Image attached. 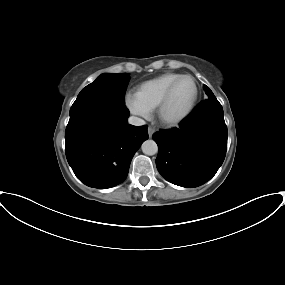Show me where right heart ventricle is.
Wrapping results in <instances>:
<instances>
[{
    "mask_svg": "<svg viewBox=\"0 0 285 285\" xmlns=\"http://www.w3.org/2000/svg\"><path fill=\"white\" fill-rule=\"evenodd\" d=\"M180 75L179 73H164L141 83L135 90V100L146 110H154L168 86Z\"/></svg>",
    "mask_w": 285,
    "mask_h": 285,
    "instance_id": "right-heart-ventricle-1",
    "label": "right heart ventricle"
}]
</instances>
